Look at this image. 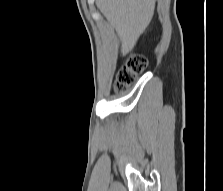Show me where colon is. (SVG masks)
<instances>
[{"label": "colon", "instance_id": "colon-1", "mask_svg": "<svg viewBox=\"0 0 223 191\" xmlns=\"http://www.w3.org/2000/svg\"><path fill=\"white\" fill-rule=\"evenodd\" d=\"M147 64V59L143 55L131 56L116 74L114 92L121 94L131 88L136 82L137 75L146 69Z\"/></svg>", "mask_w": 223, "mask_h": 191}]
</instances>
